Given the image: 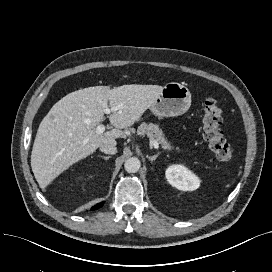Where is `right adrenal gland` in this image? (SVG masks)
<instances>
[{
	"label": "right adrenal gland",
	"mask_w": 272,
	"mask_h": 272,
	"mask_svg": "<svg viewBox=\"0 0 272 272\" xmlns=\"http://www.w3.org/2000/svg\"><path fill=\"white\" fill-rule=\"evenodd\" d=\"M99 157L103 158L104 160H108L109 158H111V156H102V155Z\"/></svg>",
	"instance_id": "2a0ac1e0"
}]
</instances>
